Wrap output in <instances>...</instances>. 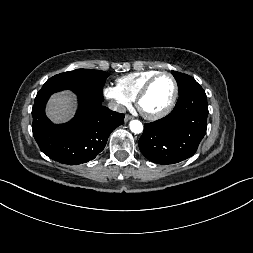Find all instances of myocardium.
<instances>
[{
  "label": "myocardium",
  "instance_id": "1",
  "mask_svg": "<svg viewBox=\"0 0 253 253\" xmlns=\"http://www.w3.org/2000/svg\"><path fill=\"white\" fill-rule=\"evenodd\" d=\"M162 76H169L172 79L173 82V95L171 97V100L169 102V104L161 111L157 112V113H147L145 112L142 107H141V101L142 99L146 96V94L148 93L150 87L152 86V84L160 77ZM178 94H179V86H178V82L175 78V76L167 71H163V72H159L156 75H154L152 78H150L144 85L143 87L140 89V91L138 92L136 98H135V105L138 109V111L141 113V115L146 118L147 120H159L165 116H167L174 108L177 98H178Z\"/></svg>",
  "mask_w": 253,
  "mask_h": 253
}]
</instances>
